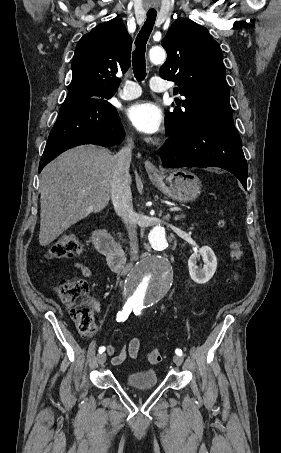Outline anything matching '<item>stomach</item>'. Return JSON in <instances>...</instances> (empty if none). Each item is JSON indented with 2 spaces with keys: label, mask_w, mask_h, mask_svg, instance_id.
<instances>
[{
  "label": "stomach",
  "mask_w": 281,
  "mask_h": 453,
  "mask_svg": "<svg viewBox=\"0 0 281 453\" xmlns=\"http://www.w3.org/2000/svg\"><path fill=\"white\" fill-rule=\"evenodd\" d=\"M149 176L166 196L178 202L195 200L201 192V180L185 168H167Z\"/></svg>",
  "instance_id": "0dacf381"
}]
</instances>
